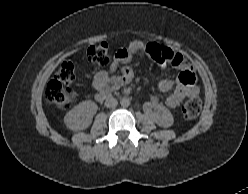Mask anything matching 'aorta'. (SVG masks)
I'll return each instance as SVG.
<instances>
[{"label": "aorta", "instance_id": "obj_1", "mask_svg": "<svg viewBox=\"0 0 248 194\" xmlns=\"http://www.w3.org/2000/svg\"><path fill=\"white\" fill-rule=\"evenodd\" d=\"M120 105L123 107V108H126L130 105V99L127 98V97H123L121 100H120Z\"/></svg>", "mask_w": 248, "mask_h": 194}]
</instances>
